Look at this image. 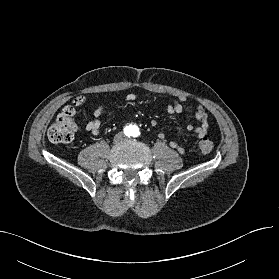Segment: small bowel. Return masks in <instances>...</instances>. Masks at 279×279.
<instances>
[{"label":"small bowel","instance_id":"1","mask_svg":"<svg viewBox=\"0 0 279 279\" xmlns=\"http://www.w3.org/2000/svg\"><path fill=\"white\" fill-rule=\"evenodd\" d=\"M138 99V96L135 94H129L126 97L127 101H135ZM186 101V98L184 96L179 97L178 99L174 100L172 104H170L167 108L168 112L170 114L174 113H179L183 110V103ZM105 111V106L100 105L94 110V119L89 121L86 124V130L93 134V135H98L101 132V123L99 118L102 116V114ZM195 118H196V123L189 124L187 126V131L195 134L198 138H202L206 136L207 134V129L209 126L208 123V115L207 112L205 111L204 107L201 105H198L195 109ZM152 126L156 125V121L151 122ZM170 146L172 148H175L178 152L184 153L185 149L183 146L171 142Z\"/></svg>","mask_w":279,"mask_h":279}]
</instances>
